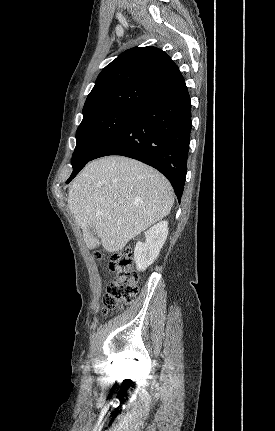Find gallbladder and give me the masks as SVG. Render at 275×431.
<instances>
[{"label": "gallbladder", "instance_id": "1", "mask_svg": "<svg viewBox=\"0 0 275 431\" xmlns=\"http://www.w3.org/2000/svg\"><path fill=\"white\" fill-rule=\"evenodd\" d=\"M88 230L93 236L96 235L95 231L92 229L91 226L88 227Z\"/></svg>", "mask_w": 275, "mask_h": 431}]
</instances>
